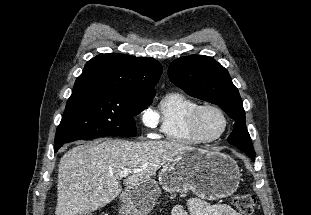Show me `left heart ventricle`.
I'll list each match as a JSON object with an SVG mask.
<instances>
[{
	"instance_id": "b2bd125f",
	"label": "left heart ventricle",
	"mask_w": 311,
	"mask_h": 215,
	"mask_svg": "<svg viewBox=\"0 0 311 215\" xmlns=\"http://www.w3.org/2000/svg\"><path fill=\"white\" fill-rule=\"evenodd\" d=\"M200 127L206 135L215 136L221 131L223 120L217 112L205 110L200 117Z\"/></svg>"
}]
</instances>
